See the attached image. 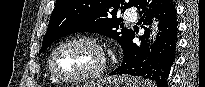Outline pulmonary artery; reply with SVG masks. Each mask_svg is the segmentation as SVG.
<instances>
[{
	"label": "pulmonary artery",
	"mask_w": 205,
	"mask_h": 87,
	"mask_svg": "<svg viewBox=\"0 0 205 87\" xmlns=\"http://www.w3.org/2000/svg\"><path fill=\"white\" fill-rule=\"evenodd\" d=\"M125 16L126 18L129 20V21H132L134 22L136 20V15L133 11L131 10H127L126 13H125Z\"/></svg>",
	"instance_id": "obj_1"
}]
</instances>
